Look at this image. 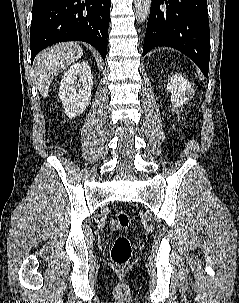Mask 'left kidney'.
<instances>
[{"instance_id": "5707ae66", "label": "left kidney", "mask_w": 239, "mask_h": 303, "mask_svg": "<svg viewBox=\"0 0 239 303\" xmlns=\"http://www.w3.org/2000/svg\"><path fill=\"white\" fill-rule=\"evenodd\" d=\"M166 89L171 93V103L174 108L181 107L186 101L192 99L195 94L188 79L178 73L170 77V82Z\"/></svg>"}]
</instances>
